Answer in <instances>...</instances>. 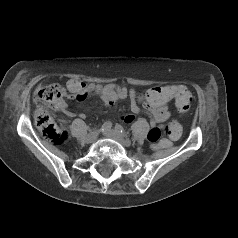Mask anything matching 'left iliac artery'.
Masks as SVG:
<instances>
[{"label":"left iliac artery","mask_w":238,"mask_h":238,"mask_svg":"<svg viewBox=\"0 0 238 238\" xmlns=\"http://www.w3.org/2000/svg\"><path fill=\"white\" fill-rule=\"evenodd\" d=\"M115 129H116V131L120 132L121 134L122 133L124 134V132H125L124 128L121 125H119V124H117L115 126Z\"/></svg>","instance_id":"obj_1"}]
</instances>
